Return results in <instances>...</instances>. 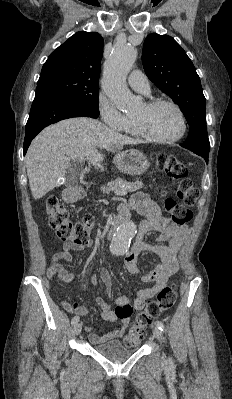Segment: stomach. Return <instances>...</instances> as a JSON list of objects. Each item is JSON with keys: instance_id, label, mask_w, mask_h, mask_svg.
<instances>
[{"instance_id": "0dacf381", "label": "stomach", "mask_w": 232, "mask_h": 399, "mask_svg": "<svg viewBox=\"0 0 232 399\" xmlns=\"http://www.w3.org/2000/svg\"><path fill=\"white\" fill-rule=\"evenodd\" d=\"M116 168L124 174H130V176H136V174H143L150 166L146 156L139 152V150H126V152H119L113 158Z\"/></svg>"}]
</instances>
